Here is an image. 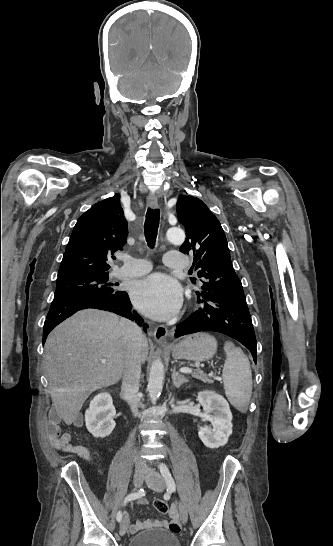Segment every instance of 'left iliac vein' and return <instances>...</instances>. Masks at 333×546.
Returning a JSON list of instances; mask_svg holds the SVG:
<instances>
[{
    "label": "left iliac vein",
    "instance_id": "4c4485c4",
    "mask_svg": "<svg viewBox=\"0 0 333 546\" xmlns=\"http://www.w3.org/2000/svg\"><path fill=\"white\" fill-rule=\"evenodd\" d=\"M145 482L147 486L154 491L162 492L165 489V482L162 476L154 470L149 471V473L146 476ZM178 506H179L180 521L183 525H185L188 521L187 509L184 506V504L181 502L178 503Z\"/></svg>",
    "mask_w": 333,
    "mask_h": 546
}]
</instances>
